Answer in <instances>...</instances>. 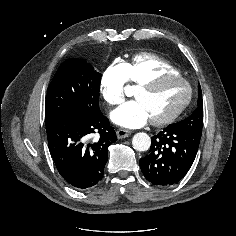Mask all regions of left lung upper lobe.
<instances>
[{
  "label": "left lung upper lobe",
  "mask_w": 236,
  "mask_h": 236,
  "mask_svg": "<svg viewBox=\"0 0 236 236\" xmlns=\"http://www.w3.org/2000/svg\"><path fill=\"white\" fill-rule=\"evenodd\" d=\"M171 125L178 127V128L187 129V130L202 134L203 102H202V93H201L200 86L198 89V107H197V109L192 113L191 116L187 117L186 119H184L178 123H174Z\"/></svg>",
  "instance_id": "5c2ea615"
}]
</instances>
